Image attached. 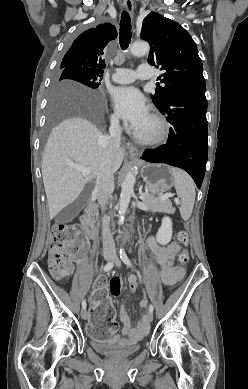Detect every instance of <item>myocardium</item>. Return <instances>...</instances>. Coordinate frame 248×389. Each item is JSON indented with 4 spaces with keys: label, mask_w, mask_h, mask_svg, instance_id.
<instances>
[{
    "label": "myocardium",
    "mask_w": 248,
    "mask_h": 389,
    "mask_svg": "<svg viewBox=\"0 0 248 389\" xmlns=\"http://www.w3.org/2000/svg\"><path fill=\"white\" fill-rule=\"evenodd\" d=\"M149 118L156 125V132L153 135H142L135 130L133 136L137 142L144 145H159L168 137V126L165 119L158 113L149 114Z\"/></svg>",
    "instance_id": "obj_1"
}]
</instances>
